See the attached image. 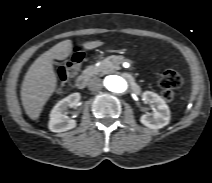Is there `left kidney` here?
Here are the masks:
<instances>
[{
	"label": "left kidney",
	"mask_w": 212,
	"mask_h": 183,
	"mask_svg": "<svg viewBox=\"0 0 212 183\" xmlns=\"http://www.w3.org/2000/svg\"><path fill=\"white\" fill-rule=\"evenodd\" d=\"M142 100L151 103L155 109L152 116H150V114L141 116L140 122L143 125L151 129H160L169 124V107L158 94L151 91H145L142 94Z\"/></svg>",
	"instance_id": "obj_1"
}]
</instances>
